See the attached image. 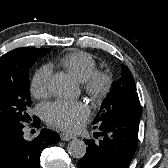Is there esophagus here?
Instances as JSON below:
<instances>
[{"instance_id":"obj_1","label":"esophagus","mask_w":168,"mask_h":168,"mask_svg":"<svg viewBox=\"0 0 168 168\" xmlns=\"http://www.w3.org/2000/svg\"><path fill=\"white\" fill-rule=\"evenodd\" d=\"M73 138H74L73 135H70V134H67V133H61V134H60V139H61L62 141H69V140H71V139H73Z\"/></svg>"}]
</instances>
